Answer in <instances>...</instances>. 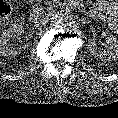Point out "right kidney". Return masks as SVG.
Segmentation results:
<instances>
[{
	"mask_svg": "<svg viewBox=\"0 0 118 118\" xmlns=\"http://www.w3.org/2000/svg\"><path fill=\"white\" fill-rule=\"evenodd\" d=\"M24 32V27L22 25H13L8 29H5L0 35V54L3 56H13L17 55V51L12 50L8 46V41L15 36V34L21 35ZM27 45L23 46L25 48Z\"/></svg>",
	"mask_w": 118,
	"mask_h": 118,
	"instance_id": "right-kidney-1",
	"label": "right kidney"
}]
</instances>
